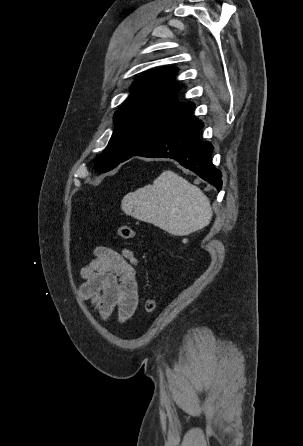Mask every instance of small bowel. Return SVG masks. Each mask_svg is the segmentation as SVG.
<instances>
[{
	"mask_svg": "<svg viewBox=\"0 0 303 446\" xmlns=\"http://www.w3.org/2000/svg\"><path fill=\"white\" fill-rule=\"evenodd\" d=\"M93 254L81 271L84 282L80 293L104 318L117 309L125 321L134 314L139 301L137 260L126 248L115 251L101 246Z\"/></svg>",
	"mask_w": 303,
	"mask_h": 446,
	"instance_id": "small-bowel-1",
	"label": "small bowel"
}]
</instances>
